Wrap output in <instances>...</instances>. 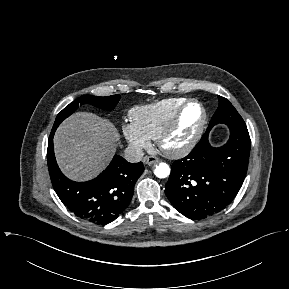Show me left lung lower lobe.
Returning <instances> with one entry per match:
<instances>
[{"instance_id":"1","label":"left lung lower lobe","mask_w":289,"mask_h":289,"mask_svg":"<svg viewBox=\"0 0 289 289\" xmlns=\"http://www.w3.org/2000/svg\"><path fill=\"white\" fill-rule=\"evenodd\" d=\"M208 127L188 156L172 164L165 194L187 218L196 220L228 206L240 190L248 169L250 137L247 128L229 126L222 147L209 144Z\"/></svg>"}]
</instances>
